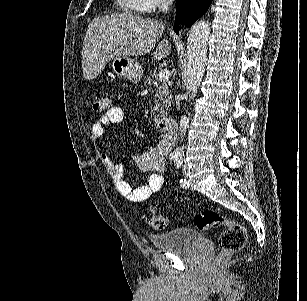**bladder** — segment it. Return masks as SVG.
Returning a JSON list of instances; mask_svg holds the SVG:
<instances>
[{
  "label": "bladder",
  "instance_id": "1",
  "mask_svg": "<svg viewBox=\"0 0 307 301\" xmlns=\"http://www.w3.org/2000/svg\"><path fill=\"white\" fill-rule=\"evenodd\" d=\"M156 250L170 253L190 252L202 244L203 237L200 231L192 228H177L170 233L151 236Z\"/></svg>",
  "mask_w": 307,
  "mask_h": 301
}]
</instances>
